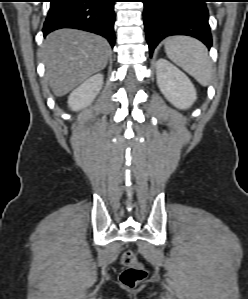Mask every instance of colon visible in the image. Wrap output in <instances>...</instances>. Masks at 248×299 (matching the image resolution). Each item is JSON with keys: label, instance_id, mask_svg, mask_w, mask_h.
<instances>
[{"label": "colon", "instance_id": "obj_1", "mask_svg": "<svg viewBox=\"0 0 248 299\" xmlns=\"http://www.w3.org/2000/svg\"><path fill=\"white\" fill-rule=\"evenodd\" d=\"M121 264L124 269L120 273V282L126 287L134 288L146 278V270L139 263L132 250H125L121 254Z\"/></svg>", "mask_w": 248, "mask_h": 299}]
</instances>
